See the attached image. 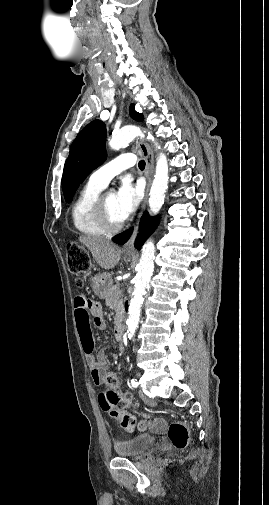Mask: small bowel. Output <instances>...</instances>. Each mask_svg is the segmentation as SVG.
I'll return each mask as SVG.
<instances>
[{"label": "small bowel", "instance_id": "c3829d8e", "mask_svg": "<svg viewBox=\"0 0 269 505\" xmlns=\"http://www.w3.org/2000/svg\"><path fill=\"white\" fill-rule=\"evenodd\" d=\"M80 296L75 299L77 328L84 352L90 360L92 379L97 385H100L107 373V362L104 351L94 353L92 324L99 330H105L107 324L102 317L101 307L92 298H79ZM91 316H93V320H91ZM166 427L167 422L163 418L144 419L138 423L140 430L150 429L157 433H163Z\"/></svg>", "mask_w": 269, "mask_h": 505}]
</instances>
